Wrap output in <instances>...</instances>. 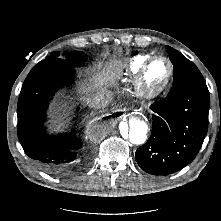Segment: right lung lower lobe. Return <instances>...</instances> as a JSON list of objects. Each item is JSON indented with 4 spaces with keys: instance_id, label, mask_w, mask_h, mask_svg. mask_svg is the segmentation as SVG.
Returning a JSON list of instances; mask_svg holds the SVG:
<instances>
[{
    "instance_id": "1",
    "label": "right lung lower lobe",
    "mask_w": 221,
    "mask_h": 221,
    "mask_svg": "<svg viewBox=\"0 0 221 221\" xmlns=\"http://www.w3.org/2000/svg\"><path fill=\"white\" fill-rule=\"evenodd\" d=\"M74 74V67L63 59L39 62L24 81L17 105V133L24 152L44 171L59 176L70 174L78 165L82 143L74 131L58 136L46 134L43 123L53 95L71 82Z\"/></svg>"
}]
</instances>
